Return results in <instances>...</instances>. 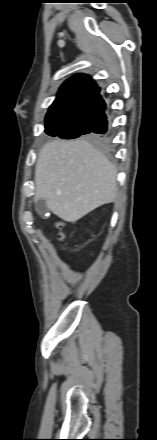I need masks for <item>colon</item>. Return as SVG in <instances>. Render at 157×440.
Segmentation results:
<instances>
[{"instance_id": "1", "label": "colon", "mask_w": 157, "mask_h": 440, "mask_svg": "<svg viewBox=\"0 0 157 440\" xmlns=\"http://www.w3.org/2000/svg\"><path fill=\"white\" fill-rule=\"evenodd\" d=\"M57 226H58L59 228L62 227L61 224H58ZM58 238L62 240V239L64 238V234H63L62 232H59V234H58Z\"/></svg>"}]
</instances>
